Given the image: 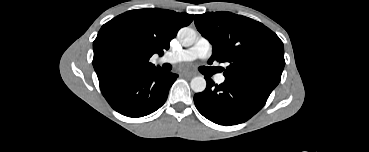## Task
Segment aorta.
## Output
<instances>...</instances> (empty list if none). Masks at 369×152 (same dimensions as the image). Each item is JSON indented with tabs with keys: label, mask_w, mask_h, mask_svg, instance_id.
I'll list each match as a JSON object with an SVG mask.
<instances>
[{
	"label": "aorta",
	"mask_w": 369,
	"mask_h": 152,
	"mask_svg": "<svg viewBox=\"0 0 369 152\" xmlns=\"http://www.w3.org/2000/svg\"><path fill=\"white\" fill-rule=\"evenodd\" d=\"M178 39L183 46H191L196 41V32L191 28L184 27L179 30ZM190 86L191 89L196 93L203 92L206 89V80L202 76L194 77L191 80Z\"/></svg>",
	"instance_id": "1"
}]
</instances>
